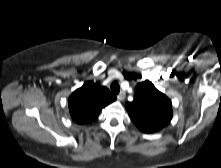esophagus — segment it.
I'll return each instance as SVG.
<instances>
[{
  "label": "esophagus",
  "instance_id": "obj_1",
  "mask_svg": "<svg viewBox=\"0 0 221 168\" xmlns=\"http://www.w3.org/2000/svg\"><path fill=\"white\" fill-rule=\"evenodd\" d=\"M125 97H126V93L124 91H121L119 95L117 96L119 101H123Z\"/></svg>",
  "mask_w": 221,
  "mask_h": 168
}]
</instances>
